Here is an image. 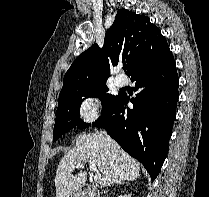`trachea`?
I'll list each match as a JSON object with an SVG mask.
<instances>
[{
	"label": "trachea",
	"mask_w": 209,
	"mask_h": 197,
	"mask_svg": "<svg viewBox=\"0 0 209 197\" xmlns=\"http://www.w3.org/2000/svg\"><path fill=\"white\" fill-rule=\"evenodd\" d=\"M126 69H127V66H123V70L126 71Z\"/></svg>",
	"instance_id": "1"
}]
</instances>
